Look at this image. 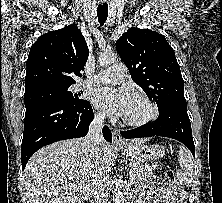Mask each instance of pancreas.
Instances as JSON below:
<instances>
[{"mask_svg":"<svg viewBox=\"0 0 222 203\" xmlns=\"http://www.w3.org/2000/svg\"><path fill=\"white\" fill-rule=\"evenodd\" d=\"M155 168L156 165H149L140 161H133L131 163L130 176L134 181H141L145 177L152 175Z\"/></svg>","mask_w":222,"mask_h":203,"instance_id":"cf45deb5","label":"pancreas"}]
</instances>
